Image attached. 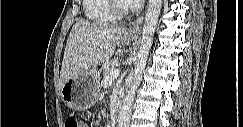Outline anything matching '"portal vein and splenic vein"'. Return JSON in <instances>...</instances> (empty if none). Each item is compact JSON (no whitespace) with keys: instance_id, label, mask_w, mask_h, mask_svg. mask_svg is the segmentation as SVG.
Masks as SVG:
<instances>
[{"instance_id":"1","label":"portal vein and splenic vein","mask_w":243,"mask_h":127,"mask_svg":"<svg viewBox=\"0 0 243 127\" xmlns=\"http://www.w3.org/2000/svg\"><path fill=\"white\" fill-rule=\"evenodd\" d=\"M120 74V70L118 69H115V70H112L109 74L108 77H106L104 79V81L102 82L103 85H107L109 84L110 82H112L113 80H115Z\"/></svg>"}]
</instances>
